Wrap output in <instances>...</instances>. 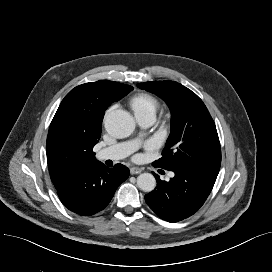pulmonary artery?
I'll return each mask as SVG.
<instances>
[{
  "label": "pulmonary artery",
  "instance_id": "1",
  "mask_svg": "<svg viewBox=\"0 0 272 272\" xmlns=\"http://www.w3.org/2000/svg\"><path fill=\"white\" fill-rule=\"evenodd\" d=\"M154 118L139 119L138 123L140 126L147 128L154 123ZM141 143V138L118 143L113 146L104 148L97 153L99 160H120L131 154Z\"/></svg>",
  "mask_w": 272,
  "mask_h": 272
}]
</instances>
